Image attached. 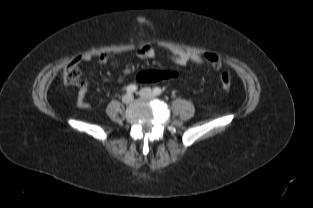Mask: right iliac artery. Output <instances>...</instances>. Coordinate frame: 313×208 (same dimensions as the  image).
Masks as SVG:
<instances>
[{
  "label": "right iliac artery",
  "instance_id": "right-iliac-artery-1",
  "mask_svg": "<svg viewBox=\"0 0 313 208\" xmlns=\"http://www.w3.org/2000/svg\"><path fill=\"white\" fill-rule=\"evenodd\" d=\"M137 90V86L135 84H131L127 86L126 91L127 93H133Z\"/></svg>",
  "mask_w": 313,
  "mask_h": 208
}]
</instances>
